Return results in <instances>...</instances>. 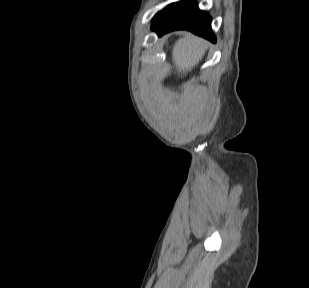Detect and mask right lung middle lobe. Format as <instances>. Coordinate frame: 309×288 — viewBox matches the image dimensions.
<instances>
[{"instance_id":"obj_1","label":"right lung middle lobe","mask_w":309,"mask_h":288,"mask_svg":"<svg viewBox=\"0 0 309 288\" xmlns=\"http://www.w3.org/2000/svg\"><path fill=\"white\" fill-rule=\"evenodd\" d=\"M182 2L183 1L170 4L169 6L164 8L162 11L158 12L152 20V25L158 23L163 17H165L171 11L177 9L182 4Z\"/></svg>"}]
</instances>
